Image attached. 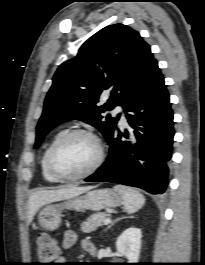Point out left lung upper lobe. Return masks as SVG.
<instances>
[{
  "label": "left lung upper lobe",
  "mask_w": 205,
  "mask_h": 265,
  "mask_svg": "<svg viewBox=\"0 0 205 265\" xmlns=\"http://www.w3.org/2000/svg\"><path fill=\"white\" fill-rule=\"evenodd\" d=\"M156 63L150 46L136 30L114 24L98 31L75 58L56 71L36 128L34 148L52 128L71 119L91 124L109 141L118 118L104 120L102 113L124 106ZM102 93L110 95L105 104L99 101Z\"/></svg>",
  "instance_id": "1"
}]
</instances>
